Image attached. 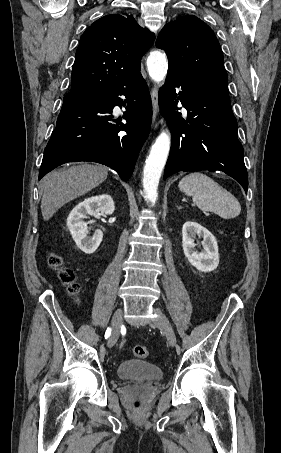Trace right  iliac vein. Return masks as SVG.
I'll use <instances>...</instances> for the list:
<instances>
[{"mask_svg":"<svg viewBox=\"0 0 281 453\" xmlns=\"http://www.w3.org/2000/svg\"><path fill=\"white\" fill-rule=\"evenodd\" d=\"M122 314L123 313H122V310L120 308L118 310H116L115 313H114V317H113V322L112 323H113V326L115 328L112 329V331H111L112 333L110 335L111 339H109L107 344H106L108 348H113V346L116 345L115 343H116V341L119 338L118 334L120 332L119 331V328H120L119 326H120V323L122 322V317H121Z\"/></svg>","mask_w":281,"mask_h":453,"instance_id":"63e3f726","label":"right iliac vein"}]
</instances>
